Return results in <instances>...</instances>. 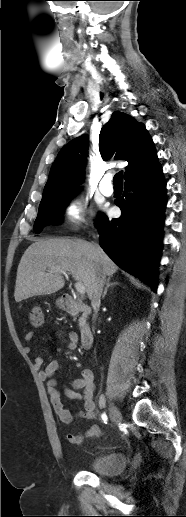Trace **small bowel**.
<instances>
[{"label":"small bowel","instance_id":"obj_1","mask_svg":"<svg viewBox=\"0 0 186 517\" xmlns=\"http://www.w3.org/2000/svg\"><path fill=\"white\" fill-rule=\"evenodd\" d=\"M57 336L59 338L66 337L68 339L67 348L69 350H74L77 348L79 337L76 332H59ZM33 337V333L29 332L25 335V340L29 342L33 339ZM25 351L30 353L31 347L26 346ZM33 363L35 368L38 370L40 378L47 381V390L51 405L62 423L70 424L76 418H83L88 421H93L96 419L94 400L96 386L93 373L90 369H83L81 371L80 378L72 379L69 383V386L64 385L63 387L64 393L69 399L81 400L83 402V409L73 414L64 405L61 399V392L58 388V383L54 379V375L62 369L61 363L58 361H51L44 368H42L44 364V359L42 356H35ZM79 390H81L82 393H79ZM101 435V427L97 424H94L90 426L84 433L69 432L65 435V438L71 444L81 445L86 439L99 438Z\"/></svg>","mask_w":186,"mask_h":517}]
</instances>
